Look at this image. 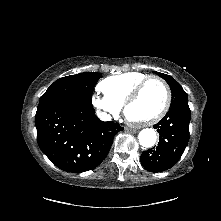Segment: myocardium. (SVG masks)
Returning a JSON list of instances; mask_svg holds the SVG:
<instances>
[{
    "label": "myocardium",
    "instance_id": "1",
    "mask_svg": "<svg viewBox=\"0 0 221 221\" xmlns=\"http://www.w3.org/2000/svg\"><path fill=\"white\" fill-rule=\"evenodd\" d=\"M153 80L158 81L165 90V102H164L162 109L156 115L146 120L139 121V120H134L130 118L129 113H128L130 106L137 100V98L139 97L140 93L142 92L146 84ZM170 105H171V90H170L169 85L166 83V81L158 76H148L144 80H142L129 94V96L127 97V99L125 100L123 104V110H124V115L126 117V120L131 125L135 127H146V126H151L157 123L158 121H160L168 112Z\"/></svg>",
    "mask_w": 221,
    "mask_h": 221
}]
</instances>
